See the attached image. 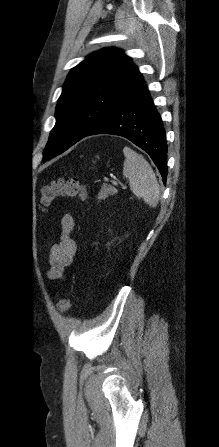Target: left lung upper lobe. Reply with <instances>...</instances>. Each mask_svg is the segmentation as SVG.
I'll return each instance as SVG.
<instances>
[{
  "label": "left lung upper lobe",
  "instance_id": "left-lung-upper-lobe-1",
  "mask_svg": "<svg viewBox=\"0 0 219 447\" xmlns=\"http://www.w3.org/2000/svg\"><path fill=\"white\" fill-rule=\"evenodd\" d=\"M140 73L121 50L95 52L69 73L56 106V124L43 160L54 157L84 138L125 95Z\"/></svg>",
  "mask_w": 219,
  "mask_h": 447
}]
</instances>
